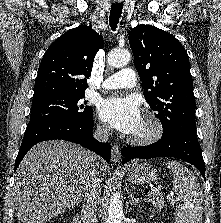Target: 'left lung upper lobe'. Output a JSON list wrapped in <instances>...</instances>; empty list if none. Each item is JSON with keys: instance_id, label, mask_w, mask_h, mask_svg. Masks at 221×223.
Returning a JSON list of instances; mask_svg holds the SVG:
<instances>
[{"instance_id": "1", "label": "left lung upper lobe", "mask_w": 221, "mask_h": 223, "mask_svg": "<svg viewBox=\"0 0 221 223\" xmlns=\"http://www.w3.org/2000/svg\"><path fill=\"white\" fill-rule=\"evenodd\" d=\"M136 70L144 97L166 137L179 127L195 128V97L186 50L171 34L151 25H138L129 33Z\"/></svg>"}]
</instances>
